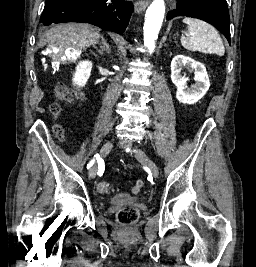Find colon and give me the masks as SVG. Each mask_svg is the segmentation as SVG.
<instances>
[{
	"mask_svg": "<svg viewBox=\"0 0 256 267\" xmlns=\"http://www.w3.org/2000/svg\"><path fill=\"white\" fill-rule=\"evenodd\" d=\"M57 92L59 94V98L63 102L72 101L74 98L79 97V93L74 90L71 86H59L57 88ZM50 111L54 115H59L62 111V108L59 104H53L50 107ZM60 132V130H57ZM144 186V182L142 180H138L136 185L134 186V192H139ZM97 190L100 193H109L111 191V185L107 182H100L97 185ZM118 220L117 223L120 224V228H130L131 224L137 223L138 210L134 206H126L118 211Z\"/></svg>",
	"mask_w": 256,
	"mask_h": 267,
	"instance_id": "1",
	"label": "colon"
}]
</instances>
